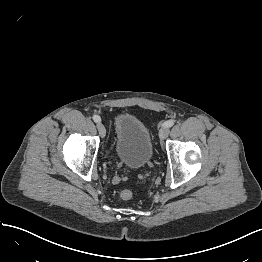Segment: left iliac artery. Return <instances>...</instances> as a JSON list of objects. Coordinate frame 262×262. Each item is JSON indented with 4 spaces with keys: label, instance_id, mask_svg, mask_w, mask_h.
I'll list each match as a JSON object with an SVG mask.
<instances>
[{
    "label": "left iliac artery",
    "instance_id": "44dca946",
    "mask_svg": "<svg viewBox=\"0 0 262 262\" xmlns=\"http://www.w3.org/2000/svg\"><path fill=\"white\" fill-rule=\"evenodd\" d=\"M173 125H174V121L173 120H168V121L163 123V126H166V127H171Z\"/></svg>",
    "mask_w": 262,
    "mask_h": 262
}]
</instances>
